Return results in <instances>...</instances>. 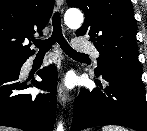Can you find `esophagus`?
Listing matches in <instances>:
<instances>
[{
	"label": "esophagus",
	"instance_id": "34e87169",
	"mask_svg": "<svg viewBox=\"0 0 147 131\" xmlns=\"http://www.w3.org/2000/svg\"><path fill=\"white\" fill-rule=\"evenodd\" d=\"M57 3V9L60 10L63 6L64 0H56ZM57 98L58 101L62 105H66L68 101L70 100L68 92L65 90L64 86L62 83L59 84L58 90H57Z\"/></svg>",
	"mask_w": 147,
	"mask_h": 131
}]
</instances>
